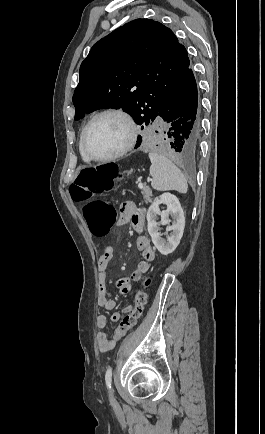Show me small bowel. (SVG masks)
<instances>
[{
	"label": "small bowel",
	"instance_id": "small-bowel-1",
	"mask_svg": "<svg viewBox=\"0 0 265 434\" xmlns=\"http://www.w3.org/2000/svg\"><path fill=\"white\" fill-rule=\"evenodd\" d=\"M146 214L145 211L137 207L133 202L126 201L120 206V217L117 223L118 227L130 224L137 234L136 247L141 253L142 259L138 262L136 268L131 274V280L138 281L145 273L149 271L150 262L155 258V251L150 244L149 238L143 233ZM114 256V249L111 246L104 248L100 255L97 268H98V306L102 309L111 311L115 308L116 303L108 295V278L106 270ZM116 286L122 295H127L131 291V282L128 278H118ZM134 307L125 305L121 312L129 314ZM121 319L120 312H113L110 315L112 322H118ZM108 319L104 314L96 317V325L99 329L96 339L99 350L101 352H108L115 348L116 345L110 346L108 336L105 332Z\"/></svg>",
	"mask_w": 265,
	"mask_h": 434
}]
</instances>
